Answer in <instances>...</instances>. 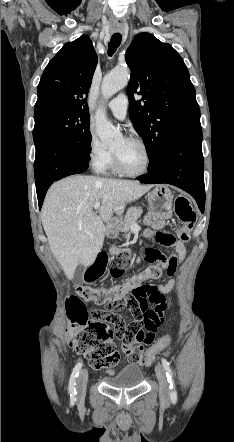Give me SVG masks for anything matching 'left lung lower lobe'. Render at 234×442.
I'll list each match as a JSON object with an SVG mask.
<instances>
[{
  "label": "left lung lower lobe",
  "mask_w": 234,
  "mask_h": 442,
  "mask_svg": "<svg viewBox=\"0 0 234 442\" xmlns=\"http://www.w3.org/2000/svg\"><path fill=\"white\" fill-rule=\"evenodd\" d=\"M149 173L138 177L142 183H168L190 193L201 211L205 205L204 160L201 125L177 133L166 145L157 164Z\"/></svg>",
  "instance_id": "0a47b994"
}]
</instances>
